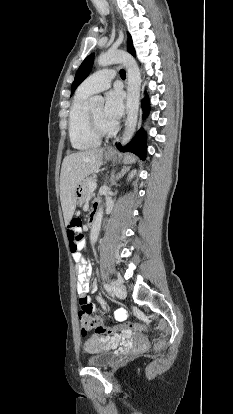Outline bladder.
Masks as SVG:
<instances>
[{
	"label": "bladder",
	"instance_id": "obj_1",
	"mask_svg": "<svg viewBox=\"0 0 233 414\" xmlns=\"http://www.w3.org/2000/svg\"><path fill=\"white\" fill-rule=\"evenodd\" d=\"M87 350L91 356L87 359V364L91 367L105 368L114 361V354L107 349V344L103 343L99 337L87 343Z\"/></svg>",
	"mask_w": 233,
	"mask_h": 414
}]
</instances>
